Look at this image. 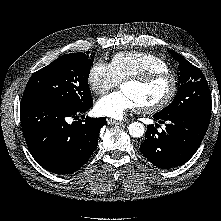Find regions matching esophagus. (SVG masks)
<instances>
[{"mask_svg":"<svg viewBox=\"0 0 221 221\" xmlns=\"http://www.w3.org/2000/svg\"><path fill=\"white\" fill-rule=\"evenodd\" d=\"M123 121L113 120V119H107L108 125H121L123 124Z\"/></svg>","mask_w":221,"mask_h":221,"instance_id":"obj_1","label":"esophagus"}]
</instances>
